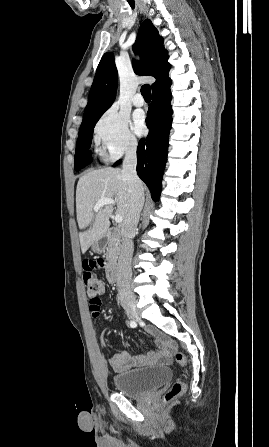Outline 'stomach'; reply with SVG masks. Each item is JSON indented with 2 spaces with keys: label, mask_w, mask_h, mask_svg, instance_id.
<instances>
[{
  "label": "stomach",
  "mask_w": 269,
  "mask_h": 447,
  "mask_svg": "<svg viewBox=\"0 0 269 447\" xmlns=\"http://www.w3.org/2000/svg\"><path fill=\"white\" fill-rule=\"evenodd\" d=\"M107 245V239H104V241H94V243H91V249L92 251H96V253H100V251H103Z\"/></svg>",
  "instance_id": "stomach-1"
}]
</instances>
